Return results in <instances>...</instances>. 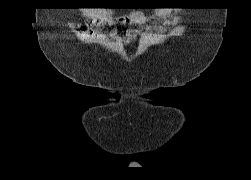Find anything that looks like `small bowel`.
<instances>
[{"instance_id": "1", "label": "small bowel", "mask_w": 251, "mask_h": 180, "mask_svg": "<svg viewBox=\"0 0 251 180\" xmlns=\"http://www.w3.org/2000/svg\"><path fill=\"white\" fill-rule=\"evenodd\" d=\"M119 20L123 23L144 24L149 20V18L143 12L135 11V12H131L127 15L120 17ZM113 21H114V17H112L110 15L109 16L105 15L100 20L101 23H109V22H113ZM135 36H136V32L134 30H130L127 32V38L129 40L135 39Z\"/></svg>"}]
</instances>
